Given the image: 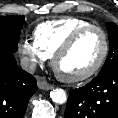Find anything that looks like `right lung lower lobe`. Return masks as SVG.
Listing matches in <instances>:
<instances>
[{"mask_svg":"<svg viewBox=\"0 0 118 118\" xmlns=\"http://www.w3.org/2000/svg\"><path fill=\"white\" fill-rule=\"evenodd\" d=\"M14 53L0 50V118H23L36 79L17 66Z\"/></svg>","mask_w":118,"mask_h":118,"instance_id":"right-lung-lower-lobe-1","label":"right lung lower lobe"}]
</instances>
